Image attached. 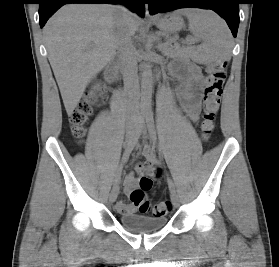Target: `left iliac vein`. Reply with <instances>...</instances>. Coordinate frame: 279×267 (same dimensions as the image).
<instances>
[{"label": "left iliac vein", "instance_id": "left-iliac-vein-1", "mask_svg": "<svg viewBox=\"0 0 279 267\" xmlns=\"http://www.w3.org/2000/svg\"><path fill=\"white\" fill-rule=\"evenodd\" d=\"M136 128H137V130L140 133H143V135H146L147 130H146V128H145V126H144V124H143L141 119L139 121V124L136 125ZM171 201H172L174 207H178L179 206V197L176 194V192H171Z\"/></svg>", "mask_w": 279, "mask_h": 267}]
</instances>
